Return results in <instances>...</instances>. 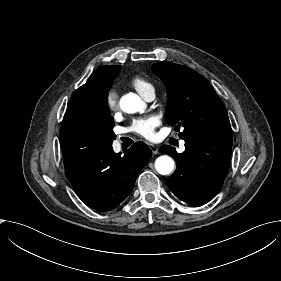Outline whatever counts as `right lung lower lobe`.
I'll return each mask as SVG.
<instances>
[{
  "label": "right lung lower lobe",
  "mask_w": 281,
  "mask_h": 281,
  "mask_svg": "<svg viewBox=\"0 0 281 281\" xmlns=\"http://www.w3.org/2000/svg\"><path fill=\"white\" fill-rule=\"evenodd\" d=\"M113 117L106 104L84 94L73 111L67 109L60 129L65 174L79 198L98 211L116 208L133 190L152 151L134 143L125 154L112 148Z\"/></svg>",
  "instance_id": "1"
}]
</instances>
